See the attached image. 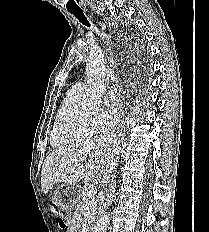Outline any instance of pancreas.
<instances>
[{
	"instance_id": "cf45deb5",
	"label": "pancreas",
	"mask_w": 209,
	"mask_h": 232,
	"mask_svg": "<svg viewBox=\"0 0 209 232\" xmlns=\"http://www.w3.org/2000/svg\"><path fill=\"white\" fill-rule=\"evenodd\" d=\"M87 191H88L87 188H84L82 190V194H81L82 203H83V205H85L87 203H90V205H91L90 218L92 220L95 217V214H96V211H97V204H96L95 199H88Z\"/></svg>"
}]
</instances>
